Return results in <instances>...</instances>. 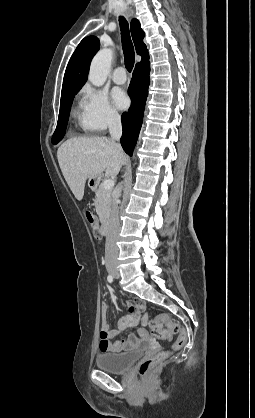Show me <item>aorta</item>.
<instances>
[{"label":"aorta","instance_id":"obj_1","mask_svg":"<svg viewBox=\"0 0 255 418\" xmlns=\"http://www.w3.org/2000/svg\"><path fill=\"white\" fill-rule=\"evenodd\" d=\"M112 50L102 49L92 59L88 79L97 87L104 85L111 67Z\"/></svg>","mask_w":255,"mask_h":418}]
</instances>
